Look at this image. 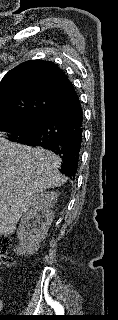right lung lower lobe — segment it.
<instances>
[{
  "label": "right lung lower lobe",
  "mask_w": 118,
  "mask_h": 320,
  "mask_svg": "<svg viewBox=\"0 0 118 320\" xmlns=\"http://www.w3.org/2000/svg\"><path fill=\"white\" fill-rule=\"evenodd\" d=\"M82 124V107L78 96H75L57 106L38 131L16 142L53 151L63 161L61 173L74 178L81 148Z\"/></svg>",
  "instance_id": "98d812e1"
}]
</instances>
